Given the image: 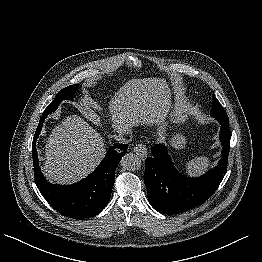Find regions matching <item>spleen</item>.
<instances>
[{"instance_id":"obj_1","label":"spleen","mask_w":262,"mask_h":262,"mask_svg":"<svg viewBox=\"0 0 262 262\" xmlns=\"http://www.w3.org/2000/svg\"><path fill=\"white\" fill-rule=\"evenodd\" d=\"M210 166L208 157L200 156L192 159L186 164V172L191 175H200L204 173Z\"/></svg>"}]
</instances>
